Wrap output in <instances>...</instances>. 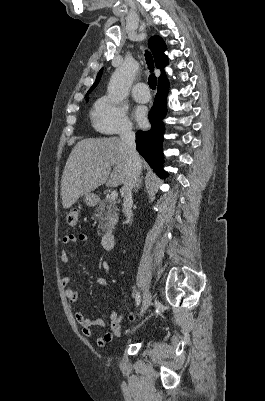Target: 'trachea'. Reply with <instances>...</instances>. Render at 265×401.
Wrapping results in <instances>:
<instances>
[{
	"label": "trachea",
	"mask_w": 265,
	"mask_h": 401,
	"mask_svg": "<svg viewBox=\"0 0 265 401\" xmlns=\"http://www.w3.org/2000/svg\"><path fill=\"white\" fill-rule=\"evenodd\" d=\"M145 59H146L147 66H148V68L150 70V75H149V78H148V84H149V87L152 90H155L156 85H157V78L153 74L154 63H153V58H152L150 52H145Z\"/></svg>",
	"instance_id": "3493384b"
}]
</instances>
